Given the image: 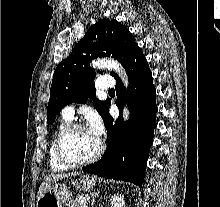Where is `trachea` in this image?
Returning <instances> with one entry per match:
<instances>
[{"label": "trachea", "instance_id": "1", "mask_svg": "<svg viewBox=\"0 0 220 207\" xmlns=\"http://www.w3.org/2000/svg\"><path fill=\"white\" fill-rule=\"evenodd\" d=\"M109 92H115V90L114 89H110Z\"/></svg>", "mask_w": 220, "mask_h": 207}]
</instances>
